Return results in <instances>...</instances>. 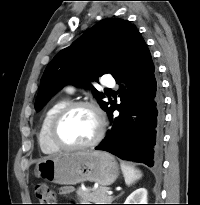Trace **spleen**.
<instances>
[{
	"instance_id": "spleen-1",
	"label": "spleen",
	"mask_w": 200,
	"mask_h": 205,
	"mask_svg": "<svg viewBox=\"0 0 200 205\" xmlns=\"http://www.w3.org/2000/svg\"><path fill=\"white\" fill-rule=\"evenodd\" d=\"M121 170L125 179V183L127 185L133 184L142 177V173L140 170L125 163H121Z\"/></svg>"
}]
</instances>
